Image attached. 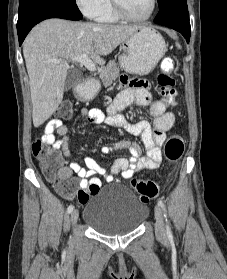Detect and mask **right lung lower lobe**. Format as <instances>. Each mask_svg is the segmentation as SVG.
Listing matches in <instances>:
<instances>
[{"mask_svg":"<svg viewBox=\"0 0 227 279\" xmlns=\"http://www.w3.org/2000/svg\"><path fill=\"white\" fill-rule=\"evenodd\" d=\"M82 14L76 3L67 0H23L19 4L17 32L19 45L37 23L49 18L81 20Z\"/></svg>","mask_w":227,"mask_h":279,"instance_id":"1","label":"right lung lower lobe"}]
</instances>
